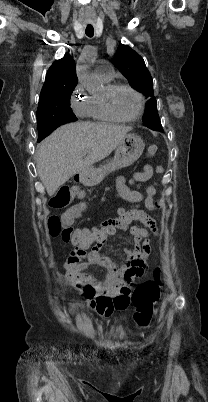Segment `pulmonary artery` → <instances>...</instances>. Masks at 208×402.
Wrapping results in <instances>:
<instances>
[{
	"label": "pulmonary artery",
	"mask_w": 208,
	"mask_h": 402,
	"mask_svg": "<svg viewBox=\"0 0 208 402\" xmlns=\"http://www.w3.org/2000/svg\"><path fill=\"white\" fill-rule=\"evenodd\" d=\"M95 71L102 77L108 80L113 78V70L110 68L106 60H96L94 64Z\"/></svg>",
	"instance_id": "1"
}]
</instances>
